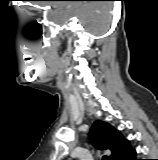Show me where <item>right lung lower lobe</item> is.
I'll return each instance as SVG.
<instances>
[{
  "label": "right lung lower lobe",
  "mask_w": 158,
  "mask_h": 160,
  "mask_svg": "<svg viewBox=\"0 0 158 160\" xmlns=\"http://www.w3.org/2000/svg\"><path fill=\"white\" fill-rule=\"evenodd\" d=\"M119 160H140L136 158V151L130 148L126 151Z\"/></svg>",
  "instance_id": "right-lung-lower-lobe-1"
}]
</instances>
